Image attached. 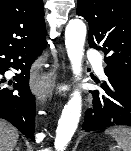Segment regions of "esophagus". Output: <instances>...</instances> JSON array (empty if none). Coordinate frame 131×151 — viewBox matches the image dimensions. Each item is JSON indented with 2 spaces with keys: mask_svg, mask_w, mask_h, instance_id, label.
Returning <instances> with one entry per match:
<instances>
[{
  "mask_svg": "<svg viewBox=\"0 0 131 151\" xmlns=\"http://www.w3.org/2000/svg\"><path fill=\"white\" fill-rule=\"evenodd\" d=\"M55 70L43 77L39 82L36 92L39 101L44 102L47 97L51 94L55 85Z\"/></svg>",
  "mask_w": 131,
  "mask_h": 151,
  "instance_id": "esophagus-1",
  "label": "esophagus"
}]
</instances>
